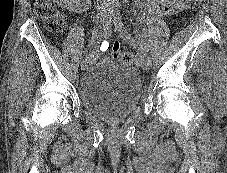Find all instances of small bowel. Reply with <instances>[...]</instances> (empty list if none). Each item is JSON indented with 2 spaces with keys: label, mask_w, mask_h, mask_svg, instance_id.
<instances>
[{
  "label": "small bowel",
  "mask_w": 227,
  "mask_h": 173,
  "mask_svg": "<svg viewBox=\"0 0 227 173\" xmlns=\"http://www.w3.org/2000/svg\"><path fill=\"white\" fill-rule=\"evenodd\" d=\"M154 15L168 16L181 11L184 8L185 0H148ZM90 62L97 60L98 54L95 50L86 53Z\"/></svg>",
  "instance_id": "obj_1"
}]
</instances>
